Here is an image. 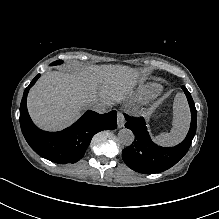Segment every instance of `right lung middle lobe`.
<instances>
[{
    "mask_svg": "<svg viewBox=\"0 0 219 219\" xmlns=\"http://www.w3.org/2000/svg\"><path fill=\"white\" fill-rule=\"evenodd\" d=\"M61 63H62V61L58 60V61L53 62L51 65H57V64H61Z\"/></svg>",
    "mask_w": 219,
    "mask_h": 219,
    "instance_id": "obj_1",
    "label": "right lung middle lobe"
}]
</instances>
